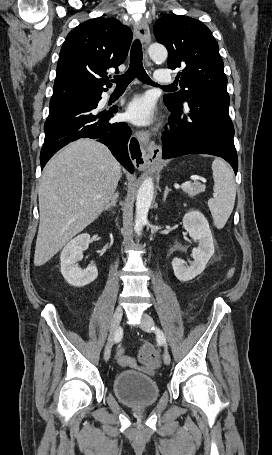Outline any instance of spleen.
Returning <instances> with one entry per match:
<instances>
[{"label":"spleen","mask_w":272,"mask_h":455,"mask_svg":"<svg viewBox=\"0 0 272 455\" xmlns=\"http://www.w3.org/2000/svg\"><path fill=\"white\" fill-rule=\"evenodd\" d=\"M215 195L208 200L214 224L222 229L230 217L235 203L236 184L228 165L219 158L212 163Z\"/></svg>","instance_id":"obj_1"}]
</instances>
